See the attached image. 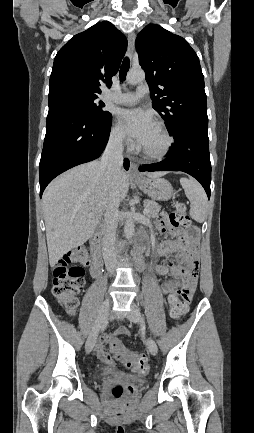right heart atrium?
Returning <instances> with one entry per match:
<instances>
[{
	"label": "right heart atrium",
	"mask_w": 254,
	"mask_h": 433,
	"mask_svg": "<svg viewBox=\"0 0 254 433\" xmlns=\"http://www.w3.org/2000/svg\"><path fill=\"white\" fill-rule=\"evenodd\" d=\"M109 139L112 144L118 147H122L128 144V139L118 122H115L109 133Z\"/></svg>",
	"instance_id": "1"
}]
</instances>
